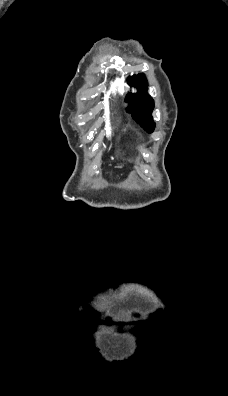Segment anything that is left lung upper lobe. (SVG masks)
<instances>
[{
  "label": "left lung upper lobe",
  "instance_id": "5c2ea615",
  "mask_svg": "<svg viewBox=\"0 0 228 396\" xmlns=\"http://www.w3.org/2000/svg\"><path fill=\"white\" fill-rule=\"evenodd\" d=\"M128 82L134 86L143 90L137 94L129 93L126 97V101L129 103L127 112L131 113L133 118L138 122L147 132H153L155 123L152 119V111L154 108V101L146 92V78L144 74L134 75L128 79Z\"/></svg>",
  "mask_w": 228,
  "mask_h": 396
}]
</instances>
